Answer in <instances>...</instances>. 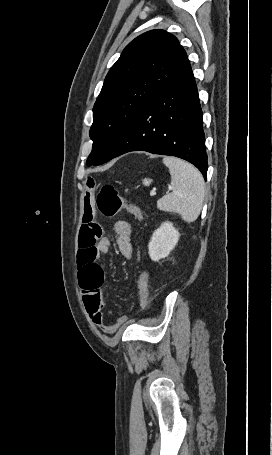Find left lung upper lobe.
<instances>
[{
	"label": "left lung upper lobe",
	"mask_w": 272,
	"mask_h": 455,
	"mask_svg": "<svg viewBox=\"0 0 272 455\" xmlns=\"http://www.w3.org/2000/svg\"><path fill=\"white\" fill-rule=\"evenodd\" d=\"M188 65L177 38L164 30L148 31L130 42L95 102L87 165L102 164L135 117Z\"/></svg>",
	"instance_id": "obj_1"
}]
</instances>
